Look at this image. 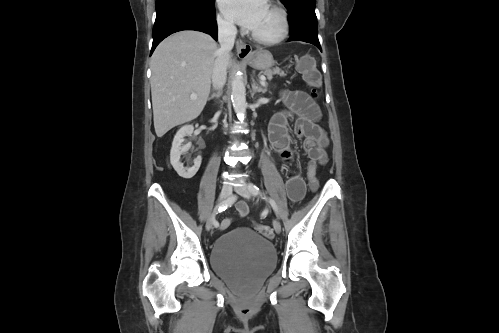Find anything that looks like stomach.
<instances>
[{
  "label": "stomach",
  "mask_w": 499,
  "mask_h": 333,
  "mask_svg": "<svg viewBox=\"0 0 499 333\" xmlns=\"http://www.w3.org/2000/svg\"><path fill=\"white\" fill-rule=\"evenodd\" d=\"M247 63L258 70H269L274 65L273 55L263 49L256 50L246 57Z\"/></svg>",
  "instance_id": "0dacf381"
}]
</instances>
